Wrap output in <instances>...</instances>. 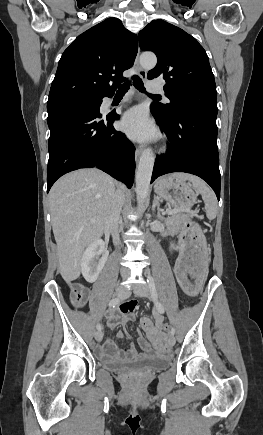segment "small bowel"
I'll list each match as a JSON object with an SVG mask.
<instances>
[{
  "mask_svg": "<svg viewBox=\"0 0 263 435\" xmlns=\"http://www.w3.org/2000/svg\"><path fill=\"white\" fill-rule=\"evenodd\" d=\"M179 260H183V254L176 259L174 272L178 269L177 263ZM136 309L137 304L130 302L110 311L107 315L109 327L114 328L118 325H124L129 321H134ZM154 319L155 325L148 317H144L141 320L142 327L150 339L148 342L142 335L138 336L137 342L142 353L137 350L134 344L127 349H121L112 340L106 339L103 343L96 346L95 352L97 357L104 361H128L136 360L146 355H160L164 348V343L162 342L165 336L163 333L164 328L162 327L164 321L163 317L158 313L154 314ZM123 336V332L119 331L117 333L118 339L123 338Z\"/></svg>",
  "mask_w": 263,
  "mask_h": 435,
  "instance_id": "1",
  "label": "small bowel"
}]
</instances>
